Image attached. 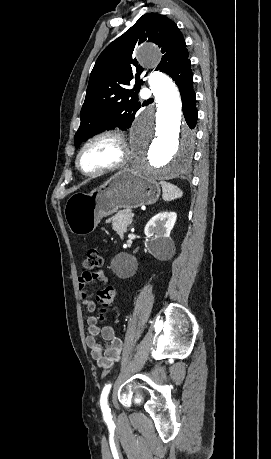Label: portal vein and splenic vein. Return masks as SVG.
I'll list each match as a JSON object with an SVG mask.
<instances>
[{"instance_id": "obj_1", "label": "portal vein and splenic vein", "mask_w": 271, "mask_h": 459, "mask_svg": "<svg viewBox=\"0 0 271 459\" xmlns=\"http://www.w3.org/2000/svg\"><path fill=\"white\" fill-rule=\"evenodd\" d=\"M128 217H135V214L133 212H129Z\"/></svg>"}]
</instances>
